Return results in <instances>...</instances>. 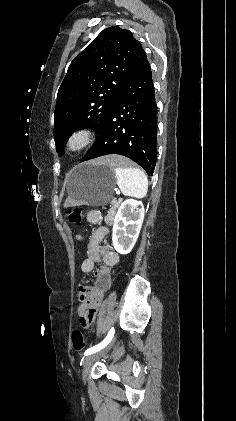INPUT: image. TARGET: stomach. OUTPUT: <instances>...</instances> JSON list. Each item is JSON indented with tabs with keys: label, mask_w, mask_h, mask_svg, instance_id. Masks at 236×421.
Listing matches in <instances>:
<instances>
[{
	"label": "stomach",
	"mask_w": 236,
	"mask_h": 421,
	"mask_svg": "<svg viewBox=\"0 0 236 421\" xmlns=\"http://www.w3.org/2000/svg\"><path fill=\"white\" fill-rule=\"evenodd\" d=\"M116 178V170L109 164L92 160L77 164L69 176V198L74 204H107L113 196Z\"/></svg>",
	"instance_id": "stomach-1"
}]
</instances>
